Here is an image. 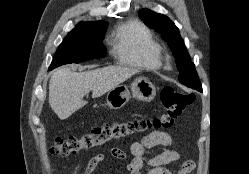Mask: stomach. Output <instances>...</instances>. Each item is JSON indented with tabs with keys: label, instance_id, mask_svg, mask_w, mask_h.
Segmentation results:
<instances>
[{
	"label": "stomach",
	"instance_id": "0dacf381",
	"mask_svg": "<svg viewBox=\"0 0 249 174\" xmlns=\"http://www.w3.org/2000/svg\"><path fill=\"white\" fill-rule=\"evenodd\" d=\"M130 93L140 101H151L156 95L155 86L145 77H139L131 84V92L125 85H118L107 94V105L111 109L123 107L130 99Z\"/></svg>",
	"mask_w": 249,
	"mask_h": 174
}]
</instances>
